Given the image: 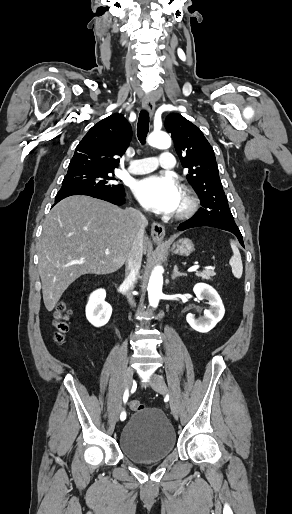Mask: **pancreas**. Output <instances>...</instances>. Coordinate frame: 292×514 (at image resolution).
<instances>
[{"mask_svg":"<svg viewBox=\"0 0 292 514\" xmlns=\"http://www.w3.org/2000/svg\"><path fill=\"white\" fill-rule=\"evenodd\" d=\"M196 276L202 278V280H211V276H214V272L213 270H203V272H196Z\"/></svg>","mask_w":292,"mask_h":514,"instance_id":"pancreas-1","label":"pancreas"}]
</instances>
